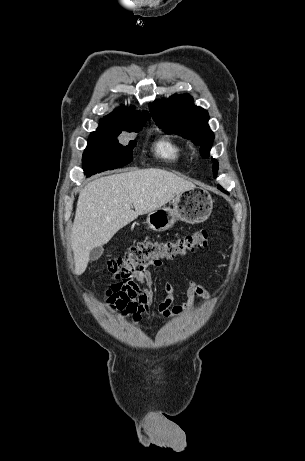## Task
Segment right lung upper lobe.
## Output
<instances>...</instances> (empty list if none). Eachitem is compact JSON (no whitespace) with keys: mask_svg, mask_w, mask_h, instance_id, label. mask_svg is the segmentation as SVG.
Instances as JSON below:
<instances>
[{"mask_svg":"<svg viewBox=\"0 0 305 461\" xmlns=\"http://www.w3.org/2000/svg\"><path fill=\"white\" fill-rule=\"evenodd\" d=\"M150 119V115L147 111H129L126 109H115L114 112L102 119V122L117 123L122 125H129L135 122H144Z\"/></svg>","mask_w":305,"mask_h":461,"instance_id":"right-lung-upper-lobe-1","label":"right lung upper lobe"}]
</instances>
